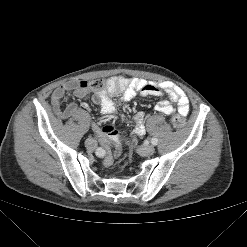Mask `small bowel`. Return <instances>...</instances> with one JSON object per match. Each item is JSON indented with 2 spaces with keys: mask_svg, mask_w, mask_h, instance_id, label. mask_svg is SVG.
Here are the masks:
<instances>
[{
  "mask_svg": "<svg viewBox=\"0 0 247 247\" xmlns=\"http://www.w3.org/2000/svg\"><path fill=\"white\" fill-rule=\"evenodd\" d=\"M68 92H72L77 98H87L89 96L85 81H68L58 86L52 93L51 105L55 115L62 120L79 113V108L74 102L63 106V97ZM137 95L165 97L155 106V109L159 113L172 115L177 111L182 116H187L189 113L187 95L180 87L171 82L156 83L139 78L112 77L107 80L104 90L92 96V100L100 106V111L105 118L114 119L116 118V110L113 98L118 96L122 101H129ZM144 120L145 115L143 113H139L136 116L135 134L141 135L144 133ZM92 128L96 132H100L96 124H92ZM101 143L104 147L111 148L113 145H119L121 140L115 131L111 135H105L102 132ZM104 162L106 165H110L112 163V157L107 156Z\"/></svg>",
  "mask_w": 247,
  "mask_h": 247,
  "instance_id": "c3829d8e",
  "label": "small bowel"
}]
</instances>
